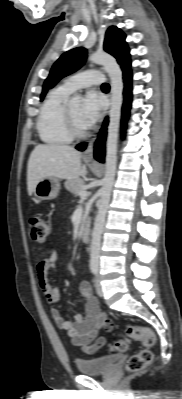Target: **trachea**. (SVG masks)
Here are the masks:
<instances>
[{
	"label": "trachea",
	"instance_id": "1",
	"mask_svg": "<svg viewBox=\"0 0 182 399\" xmlns=\"http://www.w3.org/2000/svg\"><path fill=\"white\" fill-rule=\"evenodd\" d=\"M102 88H103V89H109V84H108V83H104V84L102 85Z\"/></svg>",
	"mask_w": 182,
	"mask_h": 399
}]
</instances>
